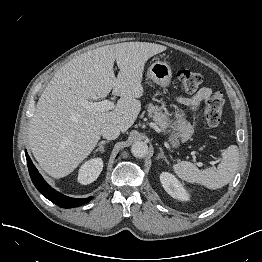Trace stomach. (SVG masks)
I'll return each mask as SVG.
<instances>
[{
    "instance_id": "0dacf381",
    "label": "stomach",
    "mask_w": 262,
    "mask_h": 262,
    "mask_svg": "<svg viewBox=\"0 0 262 262\" xmlns=\"http://www.w3.org/2000/svg\"><path fill=\"white\" fill-rule=\"evenodd\" d=\"M147 78L161 87L170 85L172 78V71L170 66L163 61H156L147 71ZM185 113L178 109L176 112V121L170 126L168 130L169 141L177 147L180 144L181 138L190 134V129L186 127Z\"/></svg>"
}]
</instances>
